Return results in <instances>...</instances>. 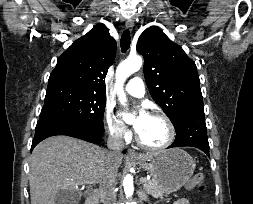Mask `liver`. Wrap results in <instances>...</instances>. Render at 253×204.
Returning <instances> with one entry per match:
<instances>
[{
    "mask_svg": "<svg viewBox=\"0 0 253 204\" xmlns=\"http://www.w3.org/2000/svg\"><path fill=\"white\" fill-rule=\"evenodd\" d=\"M122 159L121 154L113 159L117 171ZM107 171V151L101 147L64 135L47 138L35 147L30 159L31 204H55L62 190H74L80 199L78 186L101 183Z\"/></svg>",
    "mask_w": 253,
    "mask_h": 204,
    "instance_id": "liver-1",
    "label": "liver"
}]
</instances>
